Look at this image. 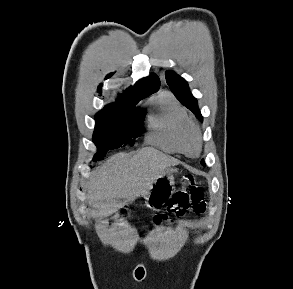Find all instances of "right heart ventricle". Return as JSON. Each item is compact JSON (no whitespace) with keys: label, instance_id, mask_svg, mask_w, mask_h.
Here are the masks:
<instances>
[{"label":"right heart ventricle","instance_id":"right-heart-ventricle-1","mask_svg":"<svg viewBox=\"0 0 293 289\" xmlns=\"http://www.w3.org/2000/svg\"><path fill=\"white\" fill-rule=\"evenodd\" d=\"M190 121L186 111L167 91L159 92L148 102V133L151 144L170 153H178L177 134L181 126Z\"/></svg>","mask_w":293,"mask_h":289}]
</instances>
